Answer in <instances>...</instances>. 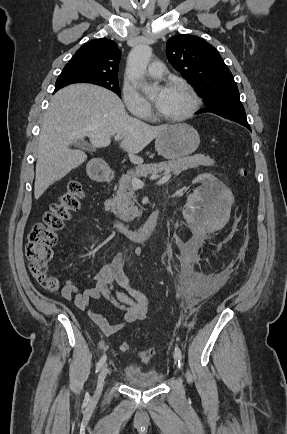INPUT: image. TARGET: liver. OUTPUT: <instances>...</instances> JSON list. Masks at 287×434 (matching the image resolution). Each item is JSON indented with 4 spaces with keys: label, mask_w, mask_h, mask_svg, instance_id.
Wrapping results in <instances>:
<instances>
[{
    "label": "liver",
    "mask_w": 287,
    "mask_h": 434,
    "mask_svg": "<svg viewBox=\"0 0 287 434\" xmlns=\"http://www.w3.org/2000/svg\"><path fill=\"white\" fill-rule=\"evenodd\" d=\"M168 126H150L125 111L120 98L102 87L76 84L58 91L44 114L39 135L34 185L35 199L56 181L87 160L81 150L69 149L75 140L88 137L92 146L103 148L113 135H120V148L132 163H142V151Z\"/></svg>",
    "instance_id": "1"
}]
</instances>
